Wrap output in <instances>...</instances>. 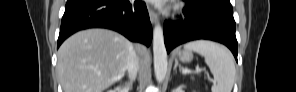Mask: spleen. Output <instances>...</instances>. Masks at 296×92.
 Returning a JSON list of instances; mask_svg holds the SVG:
<instances>
[{"instance_id": "spleen-1", "label": "spleen", "mask_w": 296, "mask_h": 92, "mask_svg": "<svg viewBox=\"0 0 296 92\" xmlns=\"http://www.w3.org/2000/svg\"><path fill=\"white\" fill-rule=\"evenodd\" d=\"M184 49L203 56L214 76L212 92H231L235 79V65L231 52L224 46L205 40L186 43Z\"/></svg>"}]
</instances>
